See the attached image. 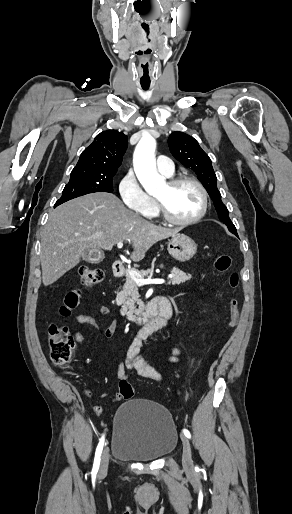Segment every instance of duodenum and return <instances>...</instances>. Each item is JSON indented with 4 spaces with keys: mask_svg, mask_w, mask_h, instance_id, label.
<instances>
[{
    "mask_svg": "<svg viewBox=\"0 0 292 514\" xmlns=\"http://www.w3.org/2000/svg\"><path fill=\"white\" fill-rule=\"evenodd\" d=\"M112 271L117 278H122L125 275V268L119 263L113 265ZM172 311L169 299L158 295L146 303L135 322L143 328L145 333L156 332L166 328L161 327L160 322L162 319L169 318Z\"/></svg>",
    "mask_w": 292,
    "mask_h": 514,
    "instance_id": "410a0bca",
    "label": "duodenum"
}]
</instances>
